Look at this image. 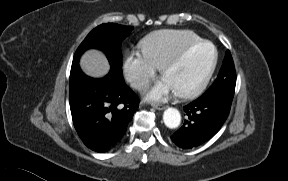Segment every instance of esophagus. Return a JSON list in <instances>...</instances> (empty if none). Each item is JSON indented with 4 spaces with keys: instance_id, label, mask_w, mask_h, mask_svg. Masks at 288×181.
Returning a JSON list of instances; mask_svg holds the SVG:
<instances>
[{
    "instance_id": "1",
    "label": "esophagus",
    "mask_w": 288,
    "mask_h": 181,
    "mask_svg": "<svg viewBox=\"0 0 288 181\" xmlns=\"http://www.w3.org/2000/svg\"><path fill=\"white\" fill-rule=\"evenodd\" d=\"M153 108L157 109V110H163L166 108V106L161 105V104H156V103H152L151 104Z\"/></svg>"
}]
</instances>
